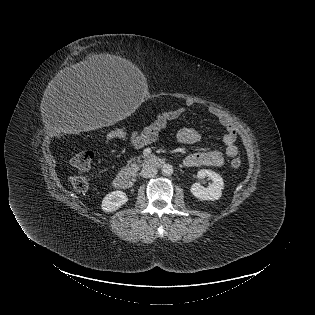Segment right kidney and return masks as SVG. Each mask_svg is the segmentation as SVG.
I'll list each match as a JSON object with an SVG mask.
<instances>
[{"label":"right kidney","instance_id":"right-kidney-1","mask_svg":"<svg viewBox=\"0 0 315 315\" xmlns=\"http://www.w3.org/2000/svg\"><path fill=\"white\" fill-rule=\"evenodd\" d=\"M127 201L128 197L123 191H113L104 197L101 209L105 212H114Z\"/></svg>","mask_w":315,"mask_h":315}]
</instances>
